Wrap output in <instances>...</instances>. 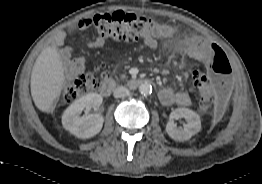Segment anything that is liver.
<instances>
[{"mask_svg":"<svg viewBox=\"0 0 262 184\" xmlns=\"http://www.w3.org/2000/svg\"><path fill=\"white\" fill-rule=\"evenodd\" d=\"M65 84L61 57L55 46H49L37 57L31 73V95L42 112H52Z\"/></svg>","mask_w":262,"mask_h":184,"instance_id":"liver-1","label":"liver"}]
</instances>
